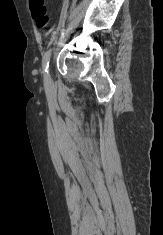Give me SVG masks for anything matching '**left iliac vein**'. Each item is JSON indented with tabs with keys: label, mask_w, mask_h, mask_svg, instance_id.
<instances>
[{
	"label": "left iliac vein",
	"mask_w": 163,
	"mask_h": 235,
	"mask_svg": "<svg viewBox=\"0 0 163 235\" xmlns=\"http://www.w3.org/2000/svg\"><path fill=\"white\" fill-rule=\"evenodd\" d=\"M46 79H47L48 82H51V75H50V73H47Z\"/></svg>",
	"instance_id": "left-iliac-vein-1"
}]
</instances>
